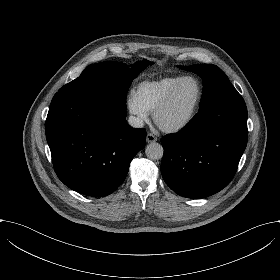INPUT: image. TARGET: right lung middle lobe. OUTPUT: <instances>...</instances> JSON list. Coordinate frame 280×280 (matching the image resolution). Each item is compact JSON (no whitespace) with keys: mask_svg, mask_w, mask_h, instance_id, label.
I'll return each instance as SVG.
<instances>
[{"mask_svg":"<svg viewBox=\"0 0 280 280\" xmlns=\"http://www.w3.org/2000/svg\"><path fill=\"white\" fill-rule=\"evenodd\" d=\"M149 64L148 60L136 62L135 65L107 61L87 66L81 75L64 85L56 94H75L92 98L107 106L126 111V96L132 80Z\"/></svg>","mask_w":280,"mask_h":280,"instance_id":"right-lung-middle-lobe-1","label":"right lung middle lobe"}]
</instances>
